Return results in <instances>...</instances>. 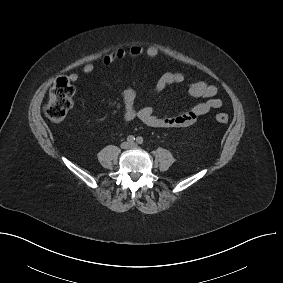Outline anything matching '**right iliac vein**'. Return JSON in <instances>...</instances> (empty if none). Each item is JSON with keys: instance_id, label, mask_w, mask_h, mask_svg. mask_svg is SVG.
<instances>
[{"instance_id": "obj_1", "label": "right iliac vein", "mask_w": 283, "mask_h": 283, "mask_svg": "<svg viewBox=\"0 0 283 283\" xmlns=\"http://www.w3.org/2000/svg\"><path fill=\"white\" fill-rule=\"evenodd\" d=\"M120 146H121L122 149H128L130 145H129L128 142H123V143H121Z\"/></svg>"}]
</instances>
